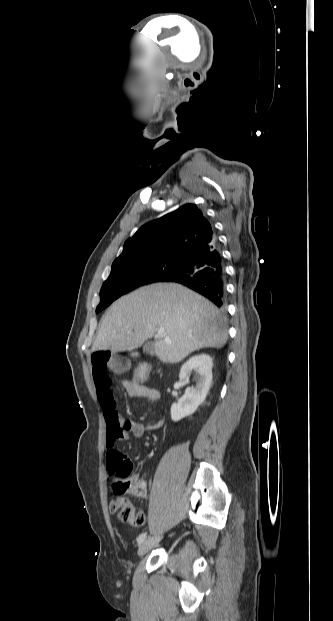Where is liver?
Here are the masks:
<instances>
[{
    "instance_id": "liver-1",
    "label": "liver",
    "mask_w": 333,
    "mask_h": 621,
    "mask_svg": "<svg viewBox=\"0 0 333 621\" xmlns=\"http://www.w3.org/2000/svg\"><path fill=\"white\" fill-rule=\"evenodd\" d=\"M224 316L208 300L179 284L157 283L121 297L103 316L92 352L131 351L149 338L162 362L177 363L204 347L222 348ZM164 328L169 341L158 335Z\"/></svg>"
}]
</instances>
